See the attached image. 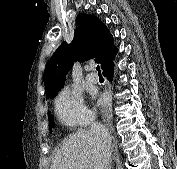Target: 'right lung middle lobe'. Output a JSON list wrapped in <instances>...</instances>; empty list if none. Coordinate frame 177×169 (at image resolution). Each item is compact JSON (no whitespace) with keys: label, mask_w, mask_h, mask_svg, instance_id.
<instances>
[{"label":"right lung middle lobe","mask_w":177,"mask_h":169,"mask_svg":"<svg viewBox=\"0 0 177 169\" xmlns=\"http://www.w3.org/2000/svg\"><path fill=\"white\" fill-rule=\"evenodd\" d=\"M48 118H49V129H50V132H52V128L54 127L53 116L50 113H48Z\"/></svg>","instance_id":"1"}]
</instances>
